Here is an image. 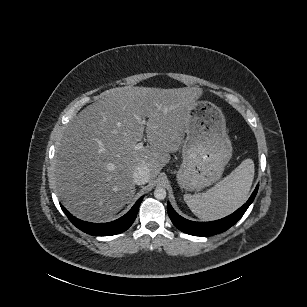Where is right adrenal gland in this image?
Instances as JSON below:
<instances>
[{"label": "right adrenal gland", "mask_w": 307, "mask_h": 307, "mask_svg": "<svg viewBox=\"0 0 307 307\" xmlns=\"http://www.w3.org/2000/svg\"><path fill=\"white\" fill-rule=\"evenodd\" d=\"M137 191V188H135L133 195L129 198V200H132V197L134 196L135 192Z\"/></svg>", "instance_id": "obj_1"}]
</instances>
